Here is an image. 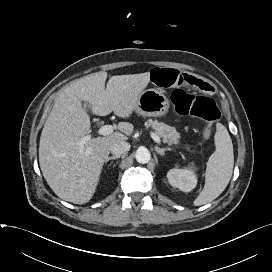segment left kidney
I'll list each match as a JSON object with an SVG mask.
<instances>
[{
	"mask_svg": "<svg viewBox=\"0 0 272 272\" xmlns=\"http://www.w3.org/2000/svg\"><path fill=\"white\" fill-rule=\"evenodd\" d=\"M169 183L181 191L189 192L196 187L197 178L193 168H173L167 173Z\"/></svg>",
	"mask_w": 272,
	"mask_h": 272,
	"instance_id": "left-kidney-1",
	"label": "left kidney"
}]
</instances>
